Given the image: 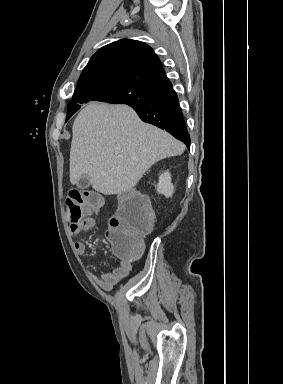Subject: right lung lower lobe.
Returning a JSON list of instances; mask_svg holds the SVG:
<instances>
[{
  "mask_svg": "<svg viewBox=\"0 0 283 384\" xmlns=\"http://www.w3.org/2000/svg\"><path fill=\"white\" fill-rule=\"evenodd\" d=\"M129 106L137 112L141 120L166 130L190 148V136L171 82H166L154 91L147 102Z\"/></svg>",
  "mask_w": 283,
  "mask_h": 384,
  "instance_id": "right-lung-lower-lobe-1",
  "label": "right lung lower lobe"
}]
</instances>
